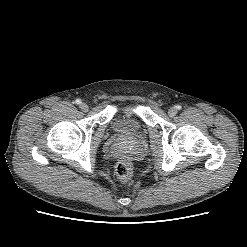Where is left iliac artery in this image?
<instances>
[{
	"mask_svg": "<svg viewBox=\"0 0 247 247\" xmlns=\"http://www.w3.org/2000/svg\"><path fill=\"white\" fill-rule=\"evenodd\" d=\"M176 108H177L178 110H180L182 107H181L180 105H178Z\"/></svg>",
	"mask_w": 247,
	"mask_h": 247,
	"instance_id": "obj_1",
	"label": "left iliac artery"
}]
</instances>
